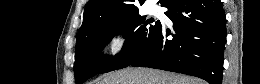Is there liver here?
I'll return each instance as SVG.
<instances>
[{"label":"liver","mask_w":260,"mask_h":84,"mask_svg":"<svg viewBox=\"0 0 260 84\" xmlns=\"http://www.w3.org/2000/svg\"><path fill=\"white\" fill-rule=\"evenodd\" d=\"M96 84H206L201 79L150 68H126Z\"/></svg>","instance_id":"liver-1"}]
</instances>
